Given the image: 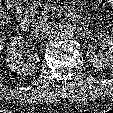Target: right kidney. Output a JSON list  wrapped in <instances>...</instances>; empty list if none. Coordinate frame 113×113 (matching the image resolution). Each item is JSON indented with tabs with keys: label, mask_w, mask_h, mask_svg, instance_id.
Listing matches in <instances>:
<instances>
[{
	"label": "right kidney",
	"mask_w": 113,
	"mask_h": 113,
	"mask_svg": "<svg viewBox=\"0 0 113 113\" xmlns=\"http://www.w3.org/2000/svg\"><path fill=\"white\" fill-rule=\"evenodd\" d=\"M25 41L21 36L15 37L7 48L6 62L8 68L14 73H26L32 71L38 63L37 53H32L25 61L22 58V48Z\"/></svg>",
	"instance_id": "right-kidney-1"
}]
</instances>
